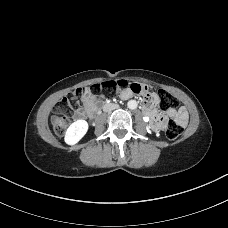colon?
Returning a JSON list of instances; mask_svg holds the SVG:
<instances>
[{"label": "colon", "mask_w": 228, "mask_h": 228, "mask_svg": "<svg viewBox=\"0 0 228 228\" xmlns=\"http://www.w3.org/2000/svg\"><path fill=\"white\" fill-rule=\"evenodd\" d=\"M127 87H129L133 93L142 95L145 98L150 96V92L147 87L139 83L129 84V82L125 79L108 80L102 83H96L90 88L81 87L76 89L74 92L64 97L55 109L52 121L56 134H63L69 123L71 112L81 105L88 93L98 95L104 89H124ZM158 97L159 107L163 111H172L179 106V100L165 90H159ZM182 132L183 128L177 121L169 120L166 128V135L169 139H177Z\"/></svg>", "instance_id": "5ec220e1"}]
</instances>
